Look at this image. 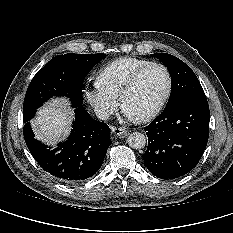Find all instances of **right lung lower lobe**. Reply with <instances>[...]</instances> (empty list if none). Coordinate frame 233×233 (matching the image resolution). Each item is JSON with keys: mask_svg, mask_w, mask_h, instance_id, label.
Segmentation results:
<instances>
[{"mask_svg": "<svg viewBox=\"0 0 233 233\" xmlns=\"http://www.w3.org/2000/svg\"><path fill=\"white\" fill-rule=\"evenodd\" d=\"M29 151L38 164L53 178L63 183H77L93 176L101 167L112 143L109 126L90 117L82 106L75 107L70 136L56 149L34 139L29 121L23 128Z\"/></svg>", "mask_w": 233, "mask_h": 233, "instance_id": "obj_1", "label": "right lung lower lobe"}]
</instances>
